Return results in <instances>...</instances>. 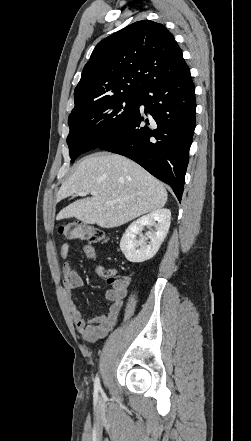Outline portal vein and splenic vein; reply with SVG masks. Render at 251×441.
<instances>
[{
    "instance_id": "obj_1",
    "label": "portal vein and splenic vein",
    "mask_w": 251,
    "mask_h": 441,
    "mask_svg": "<svg viewBox=\"0 0 251 441\" xmlns=\"http://www.w3.org/2000/svg\"><path fill=\"white\" fill-rule=\"evenodd\" d=\"M87 194H88V193H87V192H84V191L78 193L79 196H86ZM91 195H92V196H95V195H97V192H91ZM111 204H112L111 201H107V202H106V205H111Z\"/></svg>"
}]
</instances>
